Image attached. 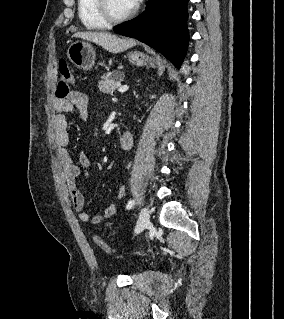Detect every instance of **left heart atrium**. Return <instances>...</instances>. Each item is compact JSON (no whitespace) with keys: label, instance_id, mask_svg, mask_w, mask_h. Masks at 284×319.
Listing matches in <instances>:
<instances>
[{"label":"left heart atrium","instance_id":"left-heart-atrium-1","mask_svg":"<svg viewBox=\"0 0 284 319\" xmlns=\"http://www.w3.org/2000/svg\"><path fill=\"white\" fill-rule=\"evenodd\" d=\"M131 8H134L138 2V0H128Z\"/></svg>","mask_w":284,"mask_h":319}]
</instances>
